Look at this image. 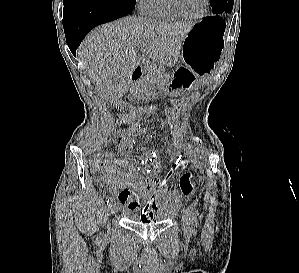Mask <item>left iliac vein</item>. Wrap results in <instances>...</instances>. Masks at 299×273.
Instances as JSON below:
<instances>
[{"label":"left iliac vein","mask_w":299,"mask_h":273,"mask_svg":"<svg viewBox=\"0 0 299 273\" xmlns=\"http://www.w3.org/2000/svg\"><path fill=\"white\" fill-rule=\"evenodd\" d=\"M182 229L185 235L189 236L191 234V220L186 209L182 210Z\"/></svg>","instance_id":"left-iliac-vein-1"}]
</instances>
